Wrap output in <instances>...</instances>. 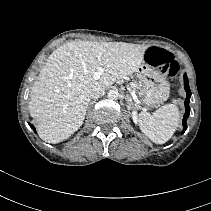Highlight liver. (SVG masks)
<instances>
[{
	"instance_id": "obj_1",
	"label": "liver",
	"mask_w": 211,
	"mask_h": 211,
	"mask_svg": "<svg viewBox=\"0 0 211 211\" xmlns=\"http://www.w3.org/2000/svg\"><path fill=\"white\" fill-rule=\"evenodd\" d=\"M148 48L124 42L71 41L53 51L28 104L39 137L53 144L70 137L82 126L92 94L136 72ZM100 67L104 73L95 80Z\"/></svg>"
}]
</instances>
